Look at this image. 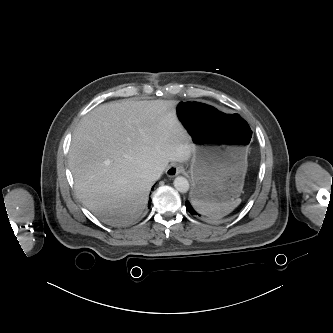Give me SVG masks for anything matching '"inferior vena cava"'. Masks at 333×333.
Returning a JSON list of instances; mask_svg holds the SVG:
<instances>
[{"label":"inferior vena cava","instance_id":"obj_1","mask_svg":"<svg viewBox=\"0 0 333 333\" xmlns=\"http://www.w3.org/2000/svg\"><path fill=\"white\" fill-rule=\"evenodd\" d=\"M162 172H163V170L161 168H157V169H154V170H147L143 174V177H149V178H152V179L156 180L161 176Z\"/></svg>","mask_w":333,"mask_h":333}]
</instances>
